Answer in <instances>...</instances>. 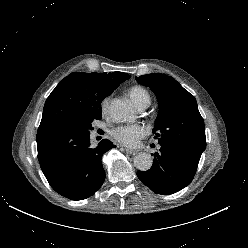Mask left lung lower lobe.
I'll return each mask as SVG.
<instances>
[{
  "instance_id": "1",
  "label": "left lung lower lobe",
  "mask_w": 248,
  "mask_h": 248,
  "mask_svg": "<svg viewBox=\"0 0 248 248\" xmlns=\"http://www.w3.org/2000/svg\"><path fill=\"white\" fill-rule=\"evenodd\" d=\"M154 156L149 170L137 172L141 182L153 192L173 194L190 184L199 161L177 147L166 145H161L159 153Z\"/></svg>"
}]
</instances>
